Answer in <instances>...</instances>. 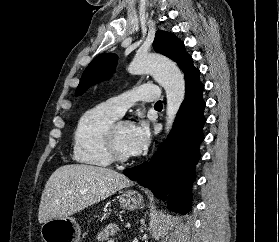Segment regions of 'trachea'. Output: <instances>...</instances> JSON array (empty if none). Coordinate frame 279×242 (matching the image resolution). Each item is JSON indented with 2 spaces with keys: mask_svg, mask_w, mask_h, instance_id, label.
<instances>
[{
  "mask_svg": "<svg viewBox=\"0 0 279 242\" xmlns=\"http://www.w3.org/2000/svg\"><path fill=\"white\" fill-rule=\"evenodd\" d=\"M155 107H162V102L161 101L156 102Z\"/></svg>",
  "mask_w": 279,
  "mask_h": 242,
  "instance_id": "trachea-1",
  "label": "trachea"
}]
</instances>
